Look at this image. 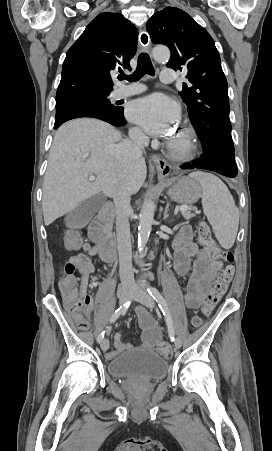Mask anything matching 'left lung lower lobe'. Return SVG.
<instances>
[{
	"label": "left lung lower lobe",
	"instance_id": "left-lung-lower-lobe-1",
	"mask_svg": "<svg viewBox=\"0 0 272 451\" xmlns=\"http://www.w3.org/2000/svg\"><path fill=\"white\" fill-rule=\"evenodd\" d=\"M181 168L183 169L199 168L211 170L224 176H227L229 178H234L237 175L238 171L237 165H234L231 162L214 155H206L198 163L183 165Z\"/></svg>",
	"mask_w": 272,
	"mask_h": 451
}]
</instances>
